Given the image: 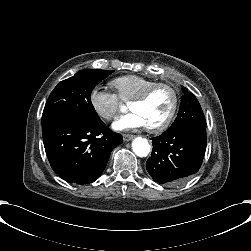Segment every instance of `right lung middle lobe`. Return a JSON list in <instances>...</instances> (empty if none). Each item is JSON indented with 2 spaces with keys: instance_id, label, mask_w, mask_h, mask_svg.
<instances>
[{
  "instance_id": "obj_1",
  "label": "right lung middle lobe",
  "mask_w": 251,
  "mask_h": 251,
  "mask_svg": "<svg viewBox=\"0 0 251 251\" xmlns=\"http://www.w3.org/2000/svg\"><path fill=\"white\" fill-rule=\"evenodd\" d=\"M113 70L85 69L61 81L51 92L42 114V131L69 119L101 121L92 103L93 88Z\"/></svg>"
}]
</instances>
